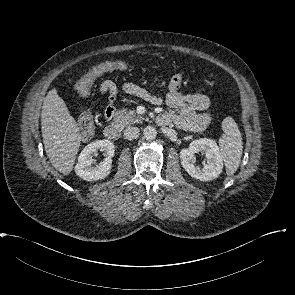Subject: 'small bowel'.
Returning a JSON list of instances; mask_svg holds the SVG:
<instances>
[{
	"label": "small bowel",
	"instance_id": "small-bowel-1",
	"mask_svg": "<svg viewBox=\"0 0 295 295\" xmlns=\"http://www.w3.org/2000/svg\"><path fill=\"white\" fill-rule=\"evenodd\" d=\"M101 90L110 97V105L106 109V117L111 118L114 113L112 103L115 98L116 86L112 81H106L102 84ZM124 92L135 95L151 103L160 104L162 99L149 93L142 86L128 82L123 86ZM165 103L170 108L161 115V122L164 124L173 122L183 130L200 131L207 122L208 115L204 113L209 107V99L202 92L184 93L179 91V84L171 81L169 92L165 97Z\"/></svg>",
	"mask_w": 295,
	"mask_h": 295
}]
</instances>
